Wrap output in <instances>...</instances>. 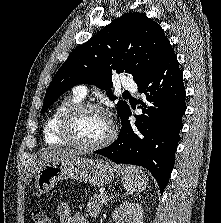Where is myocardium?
Listing matches in <instances>:
<instances>
[{
	"mask_svg": "<svg viewBox=\"0 0 221 223\" xmlns=\"http://www.w3.org/2000/svg\"><path fill=\"white\" fill-rule=\"evenodd\" d=\"M88 110L101 112L107 117L110 124V131L108 135L100 142L96 144H92V145L79 143L73 138L72 132H71L72 125L76 117L82 112H85ZM116 133H117L116 126L113 123L110 116L108 115V113L105 111V109L98 104L89 103V102H81L69 107L62 115L59 128H58V135L66 144L70 145L76 150L84 151V152L97 151V150L107 147L114 141L116 137Z\"/></svg>",
	"mask_w": 221,
	"mask_h": 223,
	"instance_id": "1",
	"label": "myocardium"
}]
</instances>
